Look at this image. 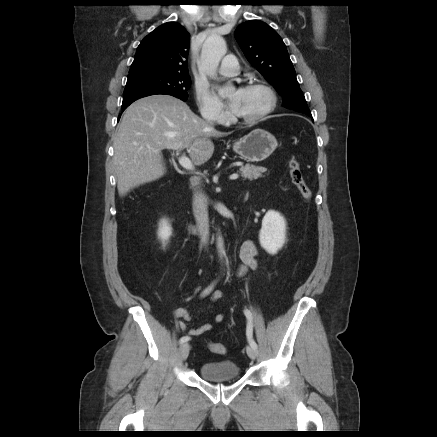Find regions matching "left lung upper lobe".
I'll use <instances>...</instances> for the list:
<instances>
[{
	"label": "left lung upper lobe",
	"mask_w": 437,
	"mask_h": 437,
	"mask_svg": "<svg viewBox=\"0 0 437 437\" xmlns=\"http://www.w3.org/2000/svg\"><path fill=\"white\" fill-rule=\"evenodd\" d=\"M235 38L247 60L282 96L284 107L312 117L287 48L277 32L262 21L250 20L237 27Z\"/></svg>",
	"instance_id": "left-lung-upper-lobe-1"
}]
</instances>
